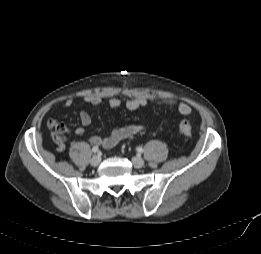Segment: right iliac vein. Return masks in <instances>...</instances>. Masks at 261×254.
<instances>
[{
  "instance_id": "1",
  "label": "right iliac vein",
  "mask_w": 261,
  "mask_h": 254,
  "mask_svg": "<svg viewBox=\"0 0 261 254\" xmlns=\"http://www.w3.org/2000/svg\"><path fill=\"white\" fill-rule=\"evenodd\" d=\"M101 162V157L99 155H95L90 159V164L93 167H97Z\"/></svg>"
}]
</instances>
